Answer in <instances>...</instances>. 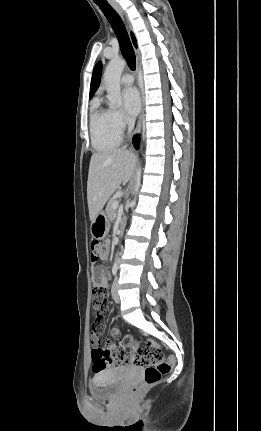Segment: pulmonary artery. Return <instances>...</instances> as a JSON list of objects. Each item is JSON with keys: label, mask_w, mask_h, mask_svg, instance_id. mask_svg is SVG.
<instances>
[{"label": "pulmonary artery", "mask_w": 261, "mask_h": 431, "mask_svg": "<svg viewBox=\"0 0 261 431\" xmlns=\"http://www.w3.org/2000/svg\"><path fill=\"white\" fill-rule=\"evenodd\" d=\"M133 81H134V78H133V76L131 75V74H129V73H126V74H124L122 77H121V83L123 84V85H131L132 83H133Z\"/></svg>", "instance_id": "pulmonary-artery-1"}]
</instances>
